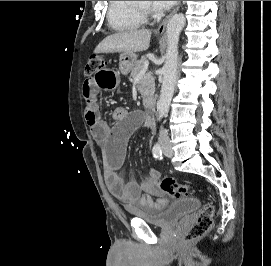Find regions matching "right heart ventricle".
Here are the masks:
<instances>
[{
	"label": "right heart ventricle",
	"instance_id": "e07e8e85",
	"mask_svg": "<svg viewBox=\"0 0 271 266\" xmlns=\"http://www.w3.org/2000/svg\"><path fill=\"white\" fill-rule=\"evenodd\" d=\"M107 21L113 30L124 32L139 28L145 19L131 1H109Z\"/></svg>",
	"mask_w": 271,
	"mask_h": 266
}]
</instances>
